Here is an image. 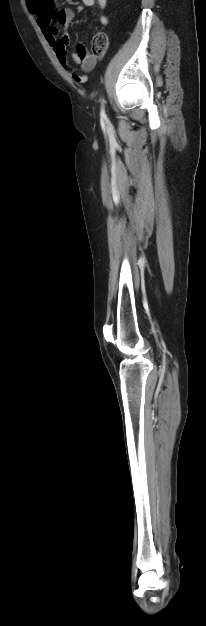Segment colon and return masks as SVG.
<instances>
[{
  "label": "colon",
  "instance_id": "1",
  "mask_svg": "<svg viewBox=\"0 0 206 626\" xmlns=\"http://www.w3.org/2000/svg\"><path fill=\"white\" fill-rule=\"evenodd\" d=\"M108 49V37L104 32H98L94 35L91 43L92 55L96 58H102ZM81 80L84 82L86 76H81Z\"/></svg>",
  "mask_w": 206,
  "mask_h": 626
}]
</instances>
